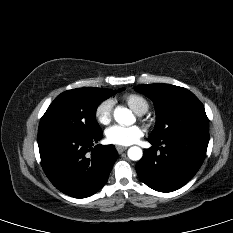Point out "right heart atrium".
<instances>
[{
	"label": "right heart atrium",
	"mask_w": 233,
	"mask_h": 233,
	"mask_svg": "<svg viewBox=\"0 0 233 233\" xmlns=\"http://www.w3.org/2000/svg\"><path fill=\"white\" fill-rule=\"evenodd\" d=\"M114 101L110 98L101 101L95 108V119L103 125L108 124L112 119Z\"/></svg>",
	"instance_id": "obj_1"
}]
</instances>
